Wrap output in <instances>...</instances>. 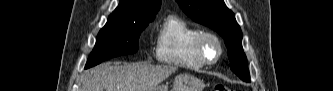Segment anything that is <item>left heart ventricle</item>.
Segmentation results:
<instances>
[{
  "instance_id": "1",
  "label": "left heart ventricle",
  "mask_w": 333,
  "mask_h": 91,
  "mask_svg": "<svg viewBox=\"0 0 333 91\" xmlns=\"http://www.w3.org/2000/svg\"><path fill=\"white\" fill-rule=\"evenodd\" d=\"M205 51L208 58L214 59L218 53L217 45L213 41H208Z\"/></svg>"
}]
</instances>
